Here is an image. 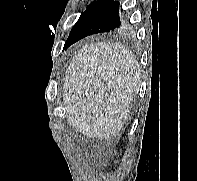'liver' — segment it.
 <instances>
[{"label": "liver", "instance_id": "1", "mask_svg": "<svg viewBox=\"0 0 197 181\" xmlns=\"http://www.w3.org/2000/svg\"><path fill=\"white\" fill-rule=\"evenodd\" d=\"M141 66L121 43H90L72 58L63 85L68 123L89 138L108 140L124 127Z\"/></svg>", "mask_w": 197, "mask_h": 181}]
</instances>
